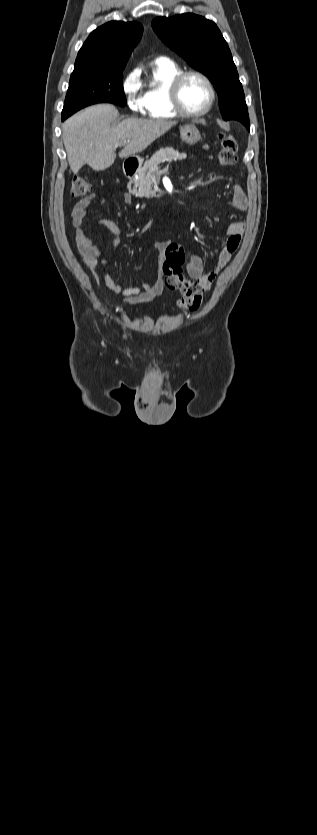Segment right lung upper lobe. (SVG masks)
Here are the masks:
<instances>
[{
	"label": "right lung upper lobe",
	"instance_id": "right-lung-upper-lobe-1",
	"mask_svg": "<svg viewBox=\"0 0 317 835\" xmlns=\"http://www.w3.org/2000/svg\"><path fill=\"white\" fill-rule=\"evenodd\" d=\"M142 32L137 22L111 21L98 27L79 50L74 70H123Z\"/></svg>",
	"mask_w": 317,
	"mask_h": 835
}]
</instances>
